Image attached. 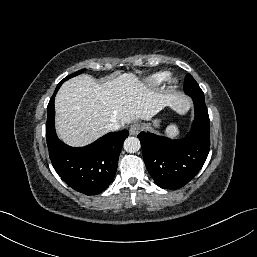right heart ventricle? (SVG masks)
Returning a JSON list of instances; mask_svg holds the SVG:
<instances>
[{
  "label": "right heart ventricle",
  "instance_id": "right-heart-ventricle-1",
  "mask_svg": "<svg viewBox=\"0 0 257 257\" xmlns=\"http://www.w3.org/2000/svg\"><path fill=\"white\" fill-rule=\"evenodd\" d=\"M167 76H168V72L160 71L150 75L147 78V82L152 86L160 85L167 79Z\"/></svg>",
  "mask_w": 257,
  "mask_h": 257
}]
</instances>
